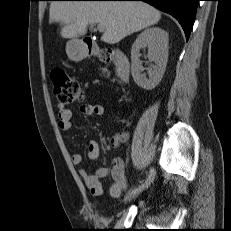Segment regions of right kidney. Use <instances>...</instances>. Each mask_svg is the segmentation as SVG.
I'll return each instance as SVG.
<instances>
[{"instance_id":"ca27d5eb","label":"right kidney","mask_w":231,"mask_h":231,"mask_svg":"<svg viewBox=\"0 0 231 231\" xmlns=\"http://www.w3.org/2000/svg\"><path fill=\"white\" fill-rule=\"evenodd\" d=\"M148 48V58L155 65L147 68L148 77L142 74L140 50ZM168 60V34L163 29L152 27L139 34L131 49V73L135 83L146 90L155 88L161 81Z\"/></svg>"}]
</instances>
